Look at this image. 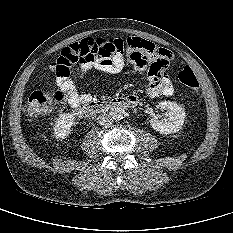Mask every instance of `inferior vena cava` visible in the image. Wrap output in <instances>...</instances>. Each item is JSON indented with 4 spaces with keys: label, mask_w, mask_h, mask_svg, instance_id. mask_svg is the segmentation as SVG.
Returning <instances> with one entry per match:
<instances>
[{
    "label": "inferior vena cava",
    "mask_w": 233,
    "mask_h": 233,
    "mask_svg": "<svg viewBox=\"0 0 233 233\" xmlns=\"http://www.w3.org/2000/svg\"><path fill=\"white\" fill-rule=\"evenodd\" d=\"M97 120L100 125H109L113 122L112 118L108 114L99 115Z\"/></svg>",
    "instance_id": "obj_1"
}]
</instances>
